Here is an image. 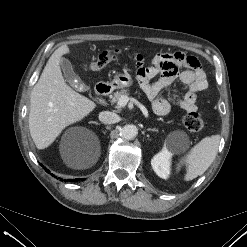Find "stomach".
<instances>
[{
  "mask_svg": "<svg viewBox=\"0 0 247 247\" xmlns=\"http://www.w3.org/2000/svg\"><path fill=\"white\" fill-rule=\"evenodd\" d=\"M110 84L114 89L125 88V87H129L133 84V79H132L131 75H129L127 73H125V74L119 73V74H116L114 76V78Z\"/></svg>",
  "mask_w": 247,
  "mask_h": 247,
  "instance_id": "0dacf381",
  "label": "stomach"
}]
</instances>
